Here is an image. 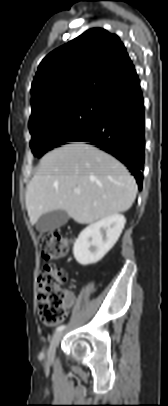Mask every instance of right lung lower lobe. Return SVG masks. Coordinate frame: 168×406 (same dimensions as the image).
I'll return each mask as SVG.
<instances>
[{
    "mask_svg": "<svg viewBox=\"0 0 168 406\" xmlns=\"http://www.w3.org/2000/svg\"><path fill=\"white\" fill-rule=\"evenodd\" d=\"M102 102L100 119L70 142H88L111 154L128 167L141 189L145 138L139 79L108 94Z\"/></svg>",
    "mask_w": 168,
    "mask_h": 406,
    "instance_id": "right-lung-lower-lobe-1",
    "label": "right lung lower lobe"
}]
</instances>
